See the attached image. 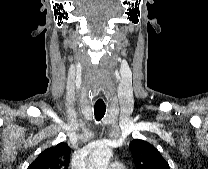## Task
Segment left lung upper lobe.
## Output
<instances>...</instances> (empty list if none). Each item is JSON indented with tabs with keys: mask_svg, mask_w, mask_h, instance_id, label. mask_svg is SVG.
Returning <instances> with one entry per match:
<instances>
[{
	"mask_svg": "<svg viewBox=\"0 0 208 169\" xmlns=\"http://www.w3.org/2000/svg\"><path fill=\"white\" fill-rule=\"evenodd\" d=\"M129 149L137 169H170L160 152L146 141L134 139Z\"/></svg>",
	"mask_w": 208,
	"mask_h": 169,
	"instance_id": "left-lung-upper-lobe-1",
	"label": "left lung upper lobe"
}]
</instances>
